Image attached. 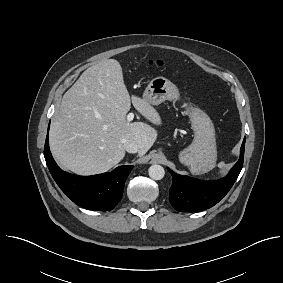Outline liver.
I'll list each match as a JSON object with an SVG mask.
<instances>
[{"instance_id":"liver-1","label":"liver","mask_w":283,"mask_h":283,"mask_svg":"<svg viewBox=\"0 0 283 283\" xmlns=\"http://www.w3.org/2000/svg\"><path fill=\"white\" fill-rule=\"evenodd\" d=\"M134 108L154 125L159 113L143 98H130L120 63L101 61L85 70L63 95L51 123L49 141L56 161L78 175L108 171L125 156L123 141L130 139L143 156L157 139V131L143 122H127Z\"/></svg>"}]
</instances>
